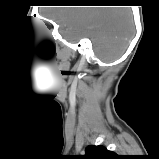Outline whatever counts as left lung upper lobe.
<instances>
[{"instance_id": "obj_1", "label": "left lung upper lobe", "mask_w": 159, "mask_h": 159, "mask_svg": "<svg viewBox=\"0 0 159 159\" xmlns=\"http://www.w3.org/2000/svg\"><path fill=\"white\" fill-rule=\"evenodd\" d=\"M86 154L80 159H120L119 155L107 150L104 146L90 145L85 150Z\"/></svg>"}]
</instances>
